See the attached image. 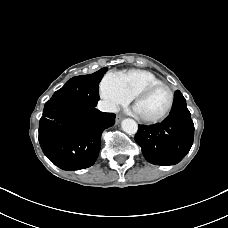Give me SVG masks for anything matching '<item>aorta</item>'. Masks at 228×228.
Instances as JSON below:
<instances>
[{
  "label": "aorta",
  "mask_w": 228,
  "mask_h": 228,
  "mask_svg": "<svg viewBox=\"0 0 228 228\" xmlns=\"http://www.w3.org/2000/svg\"><path fill=\"white\" fill-rule=\"evenodd\" d=\"M121 127L125 133L130 134V135L135 134L138 130L137 123L133 119H130V118L124 119L121 122Z\"/></svg>",
  "instance_id": "obj_1"
}]
</instances>
